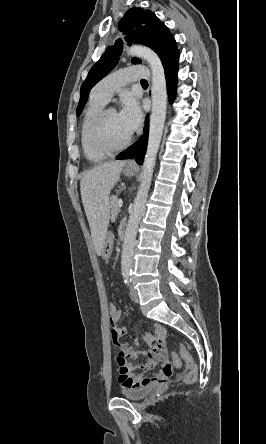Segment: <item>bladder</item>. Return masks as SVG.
I'll return each mask as SVG.
<instances>
[{"label": "bladder", "instance_id": "31cf9c89", "mask_svg": "<svg viewBox=\"0 0 266 444\" xmlns=\"http://www.w3.org/2000/svg\"><path fill=\"white\" fill-rule=\"evenodd\" d=\"M153 389V385H147L137 388L123 389L121 394L127 399L139 401L146 398L153 391Z\"/></svg>", "mask_w": 266, "mask_h": 444}]
</instances>
